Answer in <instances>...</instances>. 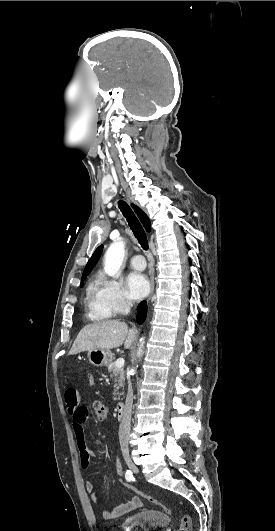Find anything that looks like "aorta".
<instances>
[{"mask_svg":"<svg viewBox=\"0 0 275 531\" xmlns=\"http://www.w3.org/2000/svg\"><path fill=\"white\" fill-rule=\"evenodd\" d=\"M125 257L124 243H111L104 255V273L109 277H116L118 275L121 265ZM144 337L141 339L137 349V359H141L143 355Z\"/></svg>","mask_w":275,"mask_h":531,"instance_id":"obj_1","label":"aorta"}]
</instances>
